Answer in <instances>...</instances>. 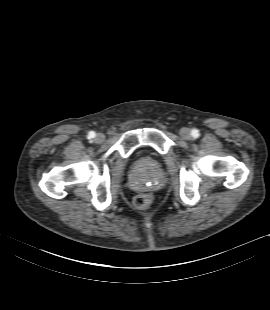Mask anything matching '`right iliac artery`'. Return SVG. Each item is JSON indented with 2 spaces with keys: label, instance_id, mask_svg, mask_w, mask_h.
Wrapping results in <instances>:
<instances>
[{
  "label": "right iliac artery",
  "instance_id": "1",
  "mask_svg": "<svg viewBox=\"0 0 270 310\" xmlns=\"http://www.w3.org/2000/svg\"><path fill=\"white\" fill-rule=\"evenodd\" d=\"M94 137H95V133L93 131L89 132L88 138L91 139V138H94Z\"/></svg>",
  "mask_w": 270,
  "mask_h": 310
}]
</instances>
